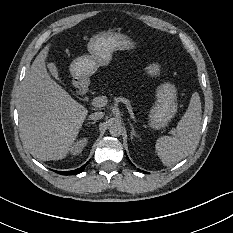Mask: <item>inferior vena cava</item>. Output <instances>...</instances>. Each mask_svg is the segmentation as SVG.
Returning <instances> with one entry per match:
<instances>
[{
  "mask_svg": "<svg viewBox=\"0 0 233 233\" xmlns=\"http://www.w3.org/2000/svg\"><path fill=\"white\" fill-rule=\"evenodd\" d=\"M104 113L103 112H94L89 115V118L92 120H99L103 118Z\"/></svg>",
  "mask_w": 233,
  "mask_h": 233,
  "instance_id": "obj_1",
  "label": "inferior vena cava"
}]
</instances>
